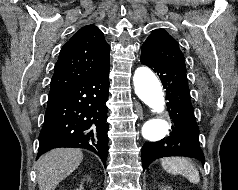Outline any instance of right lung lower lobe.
<instances>
[{"label": "right lung lower lobe", "instance_id": "obj_1", "mask_svg": "<svg viewBox=\"0 0 238 190\" xmlns=\"http://www.w3.org/2000/svg\"><path fill=\"white\" fill-rule=\"evenodd\" d=\"M109 67L48 96L37 158L53 148L75 147L96 153L106 165Z\"/></svg>", "mask_w": 238, "mask_h": 190}]
</instances>
